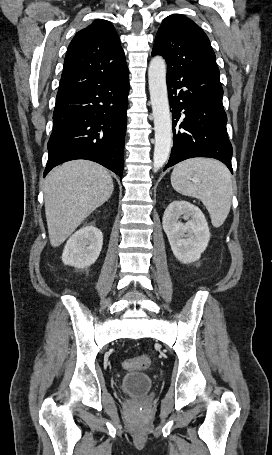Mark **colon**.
Masks as SVG:
<instances>
[{
  "label": "colon",
  "mask_w": 272,
  "mask_h": 455,
  "mask_svg": "<svg viewBox=\"0 0 272 455\" xmlns=\"http://www.w3.org/2000/svg\"><path fill=\"white\" fill-rule=\"evenodd\" d=\"M150 366V358L146 355H141L135 358L127 359L123 362V367L126 370H141Z\"/></svg>",
  "instance_id": "colon-1"
}]
</instances>
